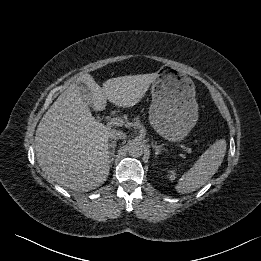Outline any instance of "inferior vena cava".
I'll return each instance as SVG.
<instances>
[{
	"mask_svg": "<svg viewBox=\"0 0 261 261\" xmlns=\"http://www.w3.org/2000/svg\"><path fill=\"white\" fill-rule=\"evenodd\" d=\"M126 137V134L122 131H117L112 129L109 133V138L111 139H124Z\"/></svg>",
	"mask_w": 261,
	"mask_h": 261,
	"instance_id": "602c4592",
	"label": "inferior vena cava"
}]
</instances>
